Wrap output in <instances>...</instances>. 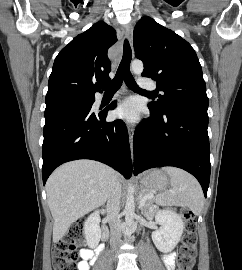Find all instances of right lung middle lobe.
Wrapping results in <instances>:
<instances>
[{
  "label": "right lung middle lobe",
  "mask_w": 242,
  "mask_h": 270,
  "mask_svg": "<svg viewBox=\"0 0 242 270\" xmlns=\"http://www.w3.org/2000/svg\"><path fill=\"white\" fill-rule=\"evenodd\" d=\"M85 101H91V100H85ZM67 104H69V103H67ZM62 105H65V104H62ZM57 106H61V105H57ZM57 106H53V107H57ZM53 107H48V108H53ZM48 108H46V109H48Z\"/></svg>",
  "instance_id": "dd1d6c3e"
}]
</instances>
